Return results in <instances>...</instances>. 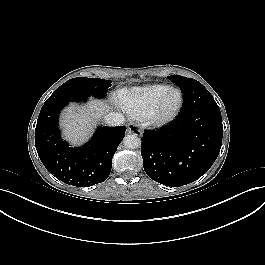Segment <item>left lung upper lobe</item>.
<instances>
[{
  "mask_svg": "<svg viewBox=\"0 0 265 265\" xmlns=\"http://www.w3.org/2000/svg\"><path fill=\"white\" fill-rule=\"evenodd\" d=\"M169 79L171 81H173L174 83H176L180 88L183 85H185V84H189V83H199L197 80H194V79H191V78L182 77L180 75H172V76H169ZM204 89H205V98H204V101L203 102L205 104H209V105H217V103L215 102L214 98L209 93V91L205 87H204Z\"/></svg>",
  "mask_w": 265,
  "mask_h": 265,
  "instance_id": "obj_1",
  "label": "left lung upper lobe"
}]
</instances>
